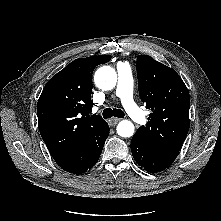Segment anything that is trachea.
Wrapping results in <instances>:
<instances>
[{
  "instance_id": "obj_1",
  "label": "trachea",
  "mask_w": 221,
  "mask_h": 221,
  "mask_svg": "<svg viewBox=\"0 0 221 221\" xmlns=\"http://www.w3.org/2000/svg\"><path fill=\"white\" fill-rule=\"evenodd\" d=\"M102 115L103 118H111L113 116L118 118H123L125 114L121 109L106 108L104 109Z\"/></svg>"
}]
</instances>
